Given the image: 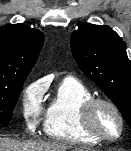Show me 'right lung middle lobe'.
<instances>
[{
	"instance_id": "right-lung-middle-lobe-1",
	"label": "right lung middle lobe",
	"mask_w": 131,
	"mask_h": 151,
	"mask_svg": "<svg viewBox=\"0 0 131 151\" xmlns=\"http://www.w3.org/2000/svg\"><path fill=\"white\" fill-rule=\"evenodd\" d=\"M24 81L25 79L16 81L0 80V124L10 121Z\"/></svg>"
}]
</instances>
